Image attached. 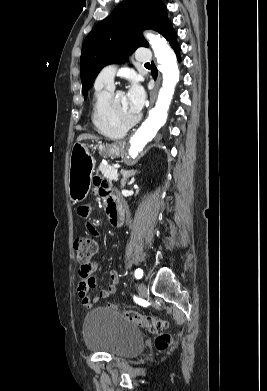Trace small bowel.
<instances>
[{"label":"small bowel","mask_w":267,"mask_h":391,"mask_svg":"<svg viewBox=\"0 0 267 391\" xmlns=\"http://www.w3.org/2000/svg\"><path fill=\"white\" fill-rule=\"evenodd\" d=\"M93 184L95 186L97 194L104 199L107 204V213L112 218L113 215L122 214V206L114 194L113 188L111 184L99 176H96L93 180ZM77 213L80 218L84 220H88L91 213V206L89 205H81L77 209ZM87 230L92 235H97V230L95 227L87 222ZM98 263L96 261L91 262L88 268H79L78 271V284H77V293L78 297L81 300L83 306L89 308L92 306L93 302H97L100 299L110 297L116 291L117 284L119 282V276L116 271H111L109 273L110 283L106 288H101L98 291V294L93 298V300L89 296V291L92 288H96V280L92 276L93 272L97 270Z\"/></svg>","instance_id":"c3829d8e"}]
</instances>
